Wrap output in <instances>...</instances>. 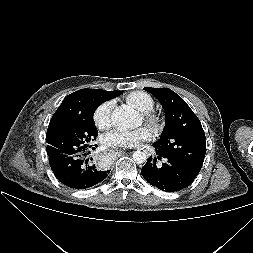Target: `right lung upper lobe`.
Instances as JSON below:
<instances>
[{
  "mask_svg": "<svg viewBox=\"0 0 253 253\" xmlns=\"http://www.w3.org/2000/svg\"><path fill=\"white\" fill-rule=\"evenodd\" d=\"M91 93H95V94L101 96V98L104 100V102L106 100H110V99L115 98V97L119 96L120 94H122V92L118 91V90H115V91H106V90H100V89L78 90V91L68 95L62 101L61 105L54 113V115L50 121V124L48 126L47 131H50L57 122H59L63 119L70 118L78 111H81V108L83 106L85 98Z\"/></svg>",
  "mask_w": 253,
  "mask_h": 253,
  "instance_id": "obj_1",
  "label": "right lung upper lobe"
}]
</instances>
